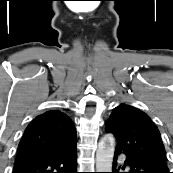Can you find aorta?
Returning <instances> with one entry per match:
<instances>
[{
    "label": "aorta",
    "mask_w": 173,
    "mask_h": 173,
    "mask_svg": "<svg viewBox=\"0 0 173 173\" xmlns=\"http://www.w3.org/2000/svg\"><path fill=\"white\" fill-rule=\"evenodd\" d=\"M115 151V139L112 134L104 135L98 143L96 152L97 172H111Z\"/></svg>",
    "instance_id": "obj_1"
}]
</instances>
